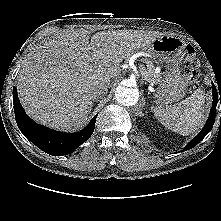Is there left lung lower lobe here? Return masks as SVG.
Instances as JSON below:
<instances>
[{"mask_svg": "<svg viewBox=\"0 0 221 221\" xmlns=\"http://www.w3.org/2000/svg\"><path fill=\"white\" fill-rule=\"evenodd\" d=\"M212 92H213V103L211 112L209 114V118L206 122V125L202 129V131L183 149V151L189 150L193 147H195L212 129L215 116H216V105L217 102L220 100L221 103V88H219V91L216 89L215 85L212 84ZM220 95V96H219Z\"/></svg>", "mask_w": 221, "mask_h": 221, "instance_id": "obj_1", "label": "left lung lower lobe"}]
</instances>
